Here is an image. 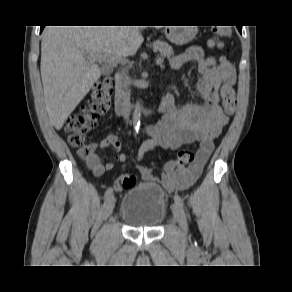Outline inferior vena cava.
I'll return each instance as SVG.
<instances>
[{"mask_svg":"<svg viewBox=\"0 0 292 292\" xmlns=\"http://www.w3.org/2000/svg\"><path fill=\"white\" fill-rule=\"evenodd\" d=\"M122 83L120 84V87H119V95L122 97L123 99V104L124 106H129L130 104V94L127 90L125 91H122V88H126L127 84H128V81H129V77L125 74H123L122 76ZM125 119H128V115L126 114L125 115Z\"/></svg>","mask_w":292,"mask_h":292,"instance_id":"1","label":"inferior vena cava"}]
</instances>
